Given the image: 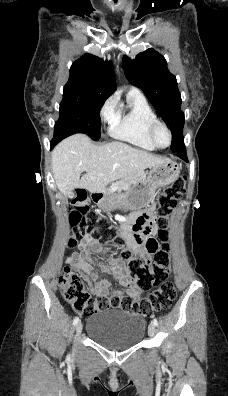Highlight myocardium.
<instances>
[{"label": "myocardium", "instance_id": "1", "mask_svg": "<svg viewBox=\"0 0 228 396\" xmlns=\"http://www.w3.org/2000/svg\"><path fill=\"white\" fill-rule=\"evenodd\" d=\"M158 128H163V129H165V131H166L167 134H168L169 142H168V144H167L166 146H164V147L158 145L157 142H156V140H155V133H156V130H157ZM147 134H148L149 140L151 141V143L153 144V146H154L155 148H157V149H165V148H168V147L171 145V143H172V133H171L170 128L168 127V125H167L165 122H163V121H161V120H159V119H157V120H155V121H153V122H151V123L149 124L148 129H147Z\"/></svg>", "mask_w": 228, "mask_h": 396}]
</instances>
